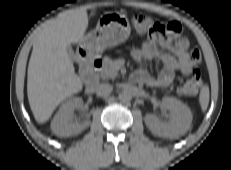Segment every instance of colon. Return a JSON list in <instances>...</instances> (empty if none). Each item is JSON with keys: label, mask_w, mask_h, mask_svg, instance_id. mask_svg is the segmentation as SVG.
<instances>
[{"label": "colon", "mask_w": 231, "mask_h": 170, "mask_svg": "<svg viewBox=\"0 0 231 170\" xmlns=\"http://www.w3.org/2000/svg\"><path fill=\"white\" fill-rule=\"evenodd\" d=\"M134 29L142 35L150 38L160 39L166 33L165 25L155 22L150 16L144 14H136L133 17ZM203 85L201 73L198 70L192 71L187 80L179 88V92L183 95H196Z\"/></svg>", "instance_id": "1"}]
</instances>
